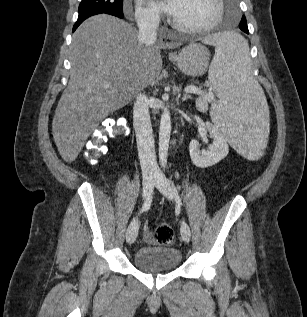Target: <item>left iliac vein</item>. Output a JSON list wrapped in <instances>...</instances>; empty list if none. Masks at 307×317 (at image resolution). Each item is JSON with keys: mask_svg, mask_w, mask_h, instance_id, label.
<instances>
[{"mask_svg": "<svg viewBox=\"0 0 307 317\" xmlns=\"http://www.w3.org/2000/svg\"><path fill=\"white\" fill-rule=\"evenodd\" d=\"M156 187L165 197H167L169 200H173L174 193L169 180L164 174L160 173L156 177ZM181 236L184 242L188 243L190 241L191 231L188 224L184 221L181 223Z\"/></svg>", "mask_w": 307, "mask_h": 317, "instance_id": "1", "label": "left iliac vein"}]
</instances>
